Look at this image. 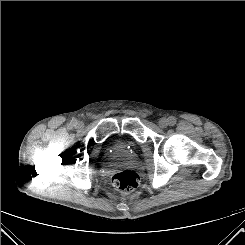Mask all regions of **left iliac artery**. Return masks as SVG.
Segmentation results:
<instances>
[{
    "instance_id": "left-iliac-artery-1",
    "label": "left iliac artery",
    "mask_w": 245,
    "mask_h": 245,
    "mask_svg": "<svg viewBox=\"0 0 245 245\" xmlns=\"http://www.w3.org/2000/svg\"><path fill=\"white\" fill-rule=\"evenodd\" d=\"M168 122L171 126L176 124V118L175 117H169Z\"/></svg>"
}]
</instances>
